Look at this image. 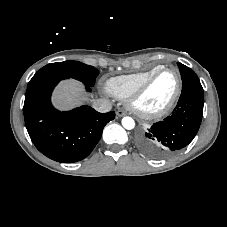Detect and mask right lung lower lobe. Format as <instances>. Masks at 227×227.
I'll return each instance as SVG.
<instances>
[{"mask_svg": "<svg viewBox=\"0 0 227 227\" xmlns=\"http://www.w3.org/2000/svg\"><path fill=\"white\" fill-rule=\"evenodd\" d=\"M59 76H45L28 83L24 118L29 136L36 148L48 158L73 163L87 157L101 138L104 126L115 118V112L99 113L89 106L67 112L56 110L50 101ZM90 91V86L86 85Z\"/></svg>", "mask_w": 227, "mask_h": 227, "instance_id": "obj_1", "label": "right lung lower lobe"}]
</instances>
